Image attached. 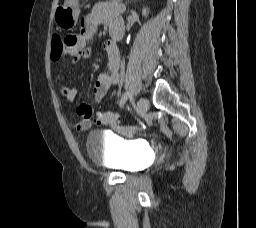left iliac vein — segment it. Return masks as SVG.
Masks as SVG:
<instances>
[{"label": "left iliac vein", "instance_id": "4c4485c4", "mask_svg": "<svg viewBox=\"0 0 256 228\" xmlns=\"http://www.w3.org/2000/svg\"><path fill=\"white\" fill-rule=\"evenodd\" d=\"M149 109V101L146 98H140L137 103V113L139 116H143Z\"/></svg>", "mask_w": 256, "mask_h": 228}]
</instances>
